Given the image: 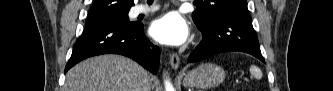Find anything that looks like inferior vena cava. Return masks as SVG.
I'll list each match as a JSON object with an SVG mask.
<instances>
[{
  "mask_svg": "<svg viewBox=\"0 0 333 91\" xmlns=\"http://www.w3.org/2000/svg\"><path fill=\"white\" fill-rule=\"evenodd\" d=\"M143 91H150L151 90V85H150V83H146L145 84V86L143 87V89H142Z\"/></svg>",
  "mask_w": 333,
  "mask_h": 91,
  "instance_id": "602c4592",
  "label": "inferior vena cava"
}]
</instances>
